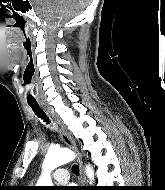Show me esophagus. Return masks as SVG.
<instances>
[{
	"mask_svg": "<svg viewBox=\"0 0 165 190\" xmlns=\"http://www.w3.org/2000/svg\"><path fill=\"white\" fill-rule=\"evenodd\" d=\"M44 109L47 110V112L51 116L54 122V125L56 127V130L59 133V136L62 139V141L77 154V161L80 168V184L84 186L86 184V179H85L84 170H83V163L80 156L78 155V149H77L75 140L73 139L71 134L67 131L65 126L61 123V121L58 119V117L54 114V112L51 111L46 106H44Z\"/></svg>",
	"mask_w": 165,
	"mask_h": 190,
	"instance_id": "34e87169",
	"label": "esophagus"
}]
</instances>
